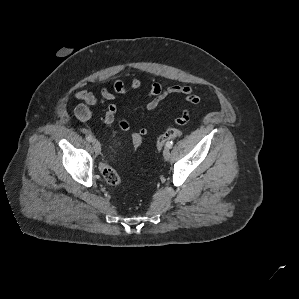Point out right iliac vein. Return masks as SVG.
<instances>
[{"mask_svg":"<svg viewBox=\"0 0 299 299\" xmlns=\"http://www.w3.org/2000/svg\"><path fill=\"white\" fill-rule=\"evenodd\" d=\"M92 146H93L95 153L99 154L101 151V145L96 139H93Z\"/></svg>","mask_w":299,"mask_h":299,"instance_id":"1","label":"right iliac vein"}]
</instances>
